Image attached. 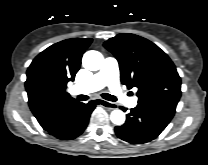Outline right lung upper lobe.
<instances>
[{
    "mask_svg": "<svg viewBox=\"0 0 208 165\" xmlns=\"http://www.w3.org/2000/svg\"><path fill=\"white\" fill-rule=\"evenodd\" d=\"M90 38H72L51 45L30 64L25 82L30 109L40 124L78 102L67 92L81 66Z\"/></svg>",
    "mask_w": 208,
    "mask_h": 165,
    "instance_id": "obj_1",
    "label": "right lung upper lobe"
}]
</instances>
